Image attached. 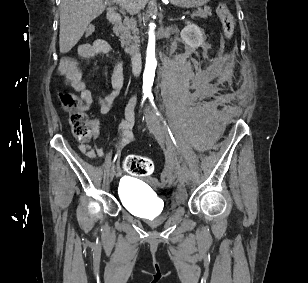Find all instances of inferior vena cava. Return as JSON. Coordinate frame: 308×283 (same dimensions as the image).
I'll return each mask as SVG.
<instances>
[{
  "label": "inferior vena cava",
  "instance_id": "inferior-vena-cava-1",
  "mask_svg": "<svg viewBox=\"0 0 308 283\" xmlns=\"http://www.w3.org/2000/svg\"><path fill=\"white\" fill-rule=\"evenodd\" d=\"M127 10H128L130 13H137L140 9L136 6L135 3H130V4L128 5Z\"/></svg>",
  "mask_w": 308,
  "mask_h": 283
}]
</instances>
